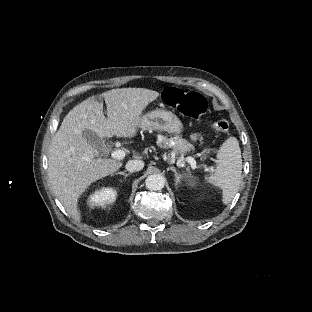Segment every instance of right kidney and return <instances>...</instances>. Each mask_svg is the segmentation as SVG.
<instances>
[{
  "instance_id": "ca27d5eb",
  "label": "right kidney",
  "mask_w": 312,
  "mask_h": 312,
  "mask_svg": "<svg viewBox=\"0 0 312 312\" xmlns=\"http://www.w3.org/2000/svg\"><path fill=\"white\" fill-rule=\"evenodd\" d=\"M116 199V192L111 188H105L96 192L89 198V204L96 207H105L114 202Z\"/></svg>"
}]
</instances>
